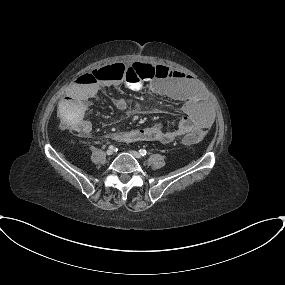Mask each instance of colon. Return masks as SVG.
<instances>
[{
	"mask_svg": "<svg viewBox=\"0 0 285 285\" xmlns=\"http://www.w3.org/2000/svg\"><path fill=\"white\" fill-rule=\"evenodd\" d=\"M120 65L114 64L109 67L94 70L92 72H82L78 75L77 81L80 83L91 84L97 80H102L107 77H112L117 74ZM140 81H152L154 79H166L170 77V70L162 65H152L148 63H135L130 69ZM80 118L65 121L64 126L71 130H78ZM203 139V133L200 130H193L183 138L185 144H196Z\"/></svg>",
	"mask_w": 285,
	"mask_h": 285,
	"instance_id": "1",
	"label": "colon"
}]
</instances>
